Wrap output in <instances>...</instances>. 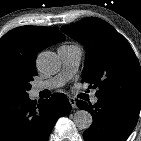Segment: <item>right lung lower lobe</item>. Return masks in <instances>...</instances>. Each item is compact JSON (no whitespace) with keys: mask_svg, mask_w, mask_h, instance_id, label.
Here are the masks:
<instances>
[{"mask_svg":"<svg viewBox=\"0 0 141 141\" xmlns=\"http://www.w3.org/2000/svg\"><path fill=\"white\" fill-rule=\"evenodd\" d=\"M70 111L62 93L39 103L28 96L0 99V141H48L57 119Z\"/></svg>","mask_w":141,"mask_h":141,"instance_id":"98d812e1","label":"right lung lower lobe"}]
</instances>
